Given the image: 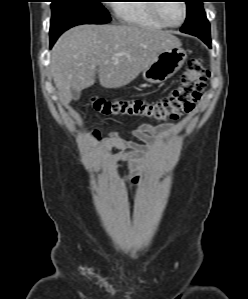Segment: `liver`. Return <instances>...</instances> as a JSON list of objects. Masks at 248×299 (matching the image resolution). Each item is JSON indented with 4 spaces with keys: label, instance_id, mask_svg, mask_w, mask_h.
<instances>
[{
    "label": "liver",
    "instance_id": "liver-1",
    "mask_svg": "<svg viewBox=\"0 0 248 299\" xmlns=\"http://www.w3.org/2000/svg\"><path fill=\"white\" fill-rule=\"evenodd\" d=\"M181 46L169 31L134 25H80L65 32L51 52L50 70L60 102L68 105L72 90L81 91L99 81L105 88L132 82L156 56Z\"/></svg>",
    "mask_w": 248,
    "mask_h": 299
}]
</instances>
